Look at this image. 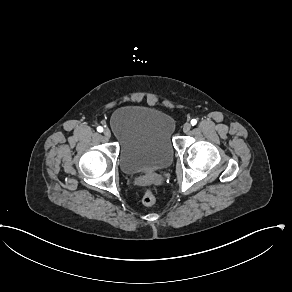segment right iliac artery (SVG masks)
Here are the masks:
<instances>
[{"label": "right iliac artery", "mask_w": 292, "mask_h": 292, "mask_svg": "<svg viewBox=\"0 0 292 292\" xmlns=\"http://www.w3.org/2000/svg\"><path fill=\"white\" fill-rule=\"evenodd\" d=\"M97 131H98V132H102V131H103V127L98 126V127H97Z\"/></svg>", "instance_id": "1"}]
</instances>
